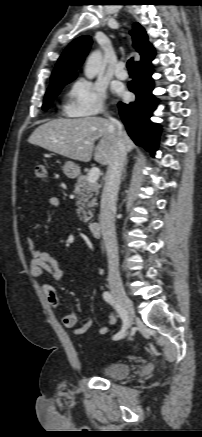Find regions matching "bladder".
Wrapping results in <instances>:
<instances>
[{"mask_svg": "<svg viewBox=\"0 0 202 437\" xmlns=\"http://www.w3.org/2000/svg\"><path fill=\"white\" fill-rule=\"evenodd\" d=\"M130 370V366L127 363L114 361L100 367L99 372L106 378L123 379L129 375Z\"/></svg>", "mask_w": 202, "mask_h": 437, "instance_id": "bladder-1", "label": "bladder"}]
</instances>
